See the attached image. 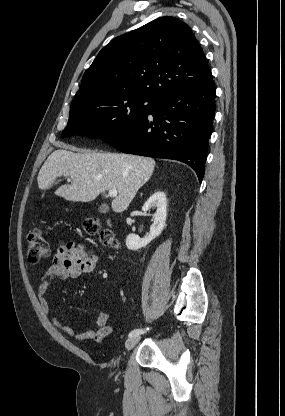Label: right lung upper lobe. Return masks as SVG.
Here are the masks:
<instances>
[{
    "instance_id": "obj_1",
    "label": "right lung upper lobe",
    "mask_w": 285,
    "mask_h": 416,
    "mask_svg": "<svg viewBox=\"0 0 285 416\" xmlns=\"http://www.w3.org/2000/svg\"><path fill=\"white\" fill-rule=\"evenodd\" d=\"M211 79L189 26L164 16L106 45L84 73L70 110L122 97H142L158 104Z\"/></svg>"
}]
</instances>
